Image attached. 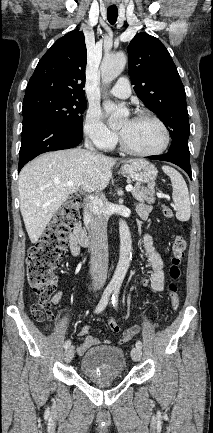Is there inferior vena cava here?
I'll return each instance as SVG.
<instances>
[{"label": "inferior vena cava", "instance_id": "1", "mask_svg": "<svg viewBox=\"0 0 213 433\" xmlns=\"http://www.w3.org/2000/svg\"><path fill=\"white\" fill-rule=\"evenodd\" d=\"M85 147L94 151V148L87 140L85 141ZM85 201L83 215L84 221L89 228L92 287L94 290H99L106 282L108 271L106 199L103 195L101 197L89 195Z\"/></svg>", "mask_w": 213, "mask_h": 433}]
</instances>
